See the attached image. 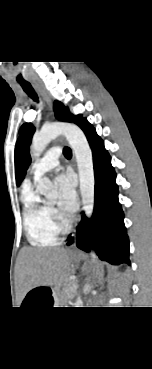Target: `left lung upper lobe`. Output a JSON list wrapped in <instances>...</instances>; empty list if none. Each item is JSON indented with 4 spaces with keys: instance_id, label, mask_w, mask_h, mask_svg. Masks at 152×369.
I'll return each mask as SVG.
<instances>
[{
    "instance_id": "1",
    "label": "left lung upper lobe",
    "mask_w": 152,
    "mask_h": 369,
    "mask_svg": "<svg viewBox=\"0 0 152 369\" xmlns=\"http://www.w3.org/2000/svg\"><path fill=\"white\" fill-rule=\"evenodd\" d=\"M55 116L60 121L73 122L79 125L84 119L81 115H73L59 101L54 102ZM35 128L31 123H26L20 128V137L15 147V173L17 185L23 180L26 170L31 162L29 155V145Z\"/></svg>"
}]
</instances>
